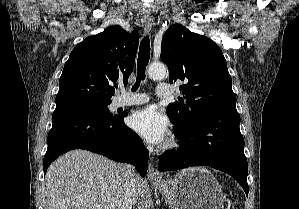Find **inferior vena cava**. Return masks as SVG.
<instances>
[{
    "label": "inferior vena cava",
    "mask_w": 299,
    "mask_h": 209,
    "mask_svg": "<svg viewBox=\"0 0 299 209\" xmlns=\"http://www.w3.org/2000/svg\"><path fill=\"white\" fill-rule=\"evenodd\" d=\"M120 169L124 180V194L120 200L118 209H132L131 189L136 178L135 169L129 164L121 165Z\"/></svg>",
    "instance_id": "inferior-vena-cava-1"
}]
</instances>
